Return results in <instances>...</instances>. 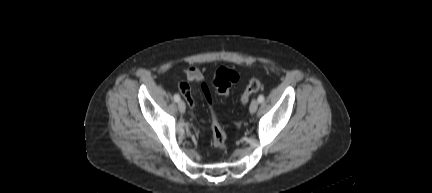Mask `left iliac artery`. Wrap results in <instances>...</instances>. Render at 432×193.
Returning a JSON list of instances; mask_svg holds the SVG:
<instances>
[{
	"mask_svg": "<svg viewBox=\"0 0 432 193\" xmlns=\"http://www.w3.org/2000/svg\"><path fill=\"white\" fill-rule=\"evenodd\" d=\"M264 101V95H259V97H258V102L259 103H262Z\"/></svg>",
	"mask_w": 432,
	"mask_h": 193,
	"instance_id": "left-iliac-artery-1",
	"label": "left iliac artery"
}]
</instances>
